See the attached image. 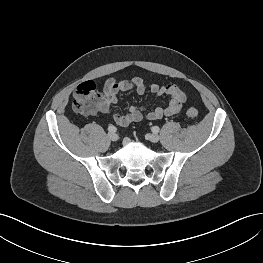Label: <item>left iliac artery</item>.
<instances>
[{
  "instance_id": "1",
  "label": "left iliac artery",
  "mask_w": 263,
  "mask_h": 263,
  "mask_svg": "<svg viewBox=\"0 0 263 263\" xmlns=\"http://www.w3.org/2000/svg\"><path fill=\"white\" fill-rule=\"evenodd\" d=\"M159 130H160V128L158 126H153L152 127V132H154V133H158Z\"/></svg>"
}]
</instances>
